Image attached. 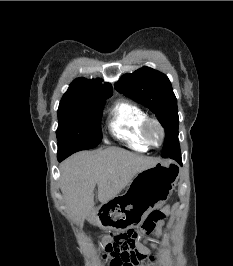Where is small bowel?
<instances>
[{
    "label": "small bowel",
    "instance_id": "obj_1",
    "mask_svg": "<svg viewBox=\"0 0 233 266\" xmlns=\"http://www.w3.org/2000/svg\"><path fill=\"white\" fill-rule=\"evenodd\" d=\"M163 224H164V223L158 224L157 227H156V229H155V234H156L158 237H160V236L162 235V226H163ZM144 233H145V232H144L143 230H140V231H137V230H136V239H135V242H136V250H137V252H138V253L140 254V256H141V261H142L144 258H146L147 255L150 254L151 249H154V248L157 246V244H158V242H154V243H152L150 246H148V245L146 244V241H145L144 238H143V234H144ZM106 242H107V241L104 240V242H103V247H105ZM104 258H107V257H105V255H104ZM150 258H151L152 261L154 260L153 257H150ZM141 261H140V262H141ZM112 266H122V265L119 264V263H115V264H113Z\"/></svg>",
    "mask_w": 233,
    "mask_h": 266
}]
</instances>
